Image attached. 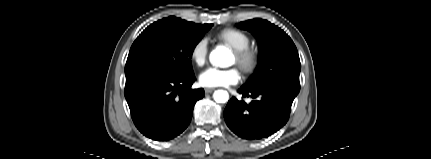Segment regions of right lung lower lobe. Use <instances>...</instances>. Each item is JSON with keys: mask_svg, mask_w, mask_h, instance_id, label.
Returning a JSON list of instances; mask_svg holds the SVG:
<instances>
[{"mask_svg": "<svg viewBox=\"0 0 431 159\" xmlns=\"http://www.w3.org/2000/svg\"><path fill=\"white\" fill-rule=\"evenodd\" d=\"M196 80L160 69H149L126 78L125 98L137 129L156 141H168L189 125L203 89H190Z\"/></svg>", "mask_w": 431, "mask_h": 159, "instance_id": "obj_1", "label": "right lung lower lobe"}]
</instances>
